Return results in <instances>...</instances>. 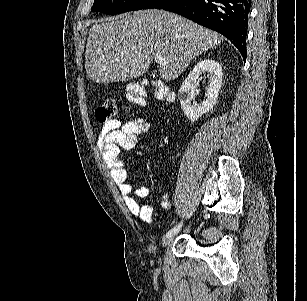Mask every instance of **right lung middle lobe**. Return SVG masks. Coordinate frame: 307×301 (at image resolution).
Masks as SVG:
<instances>
[{"mask_svg":"<svg viewBox=\"0 0 307 301\" xmlns=\"http://www.w3.org/2000/svg\"><path fill=\"white\" fill-rule=\"evenodd\" d=\"M153 0H94L92 12L115 15L127 11L143 9Z\"/></svg>","mask_w":307,"mask_h":301,"instance_id":"dd1d6c3e","label":"right lung middle lobe"}]
</instances>
